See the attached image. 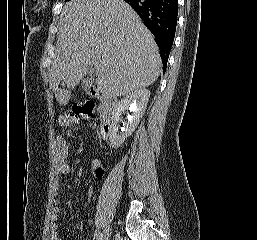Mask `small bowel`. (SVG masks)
Instances as JSON below:
<instances>
[{
	"label": "small bowel",
	"mask_w": 257,
	"mask_h": 240,
	"mask_svg": "<svg viewBox=\"0 0 257 240\" xmlns=\"http://www.w3.org/2000/svg\"><path fill=\"white\" fill-rule=\"evenodd\" d=\"M54 174L56 178L55 188H58V180L61 176L68 175L71 171V167L68 161L69 158V149L67 141L58 136L54 140ZM92 168L96 175V177H101L102 175V168L98 160L92 161ZM59 213V206L58 203L55 201L51 208V215H50V231H49V239L50 240H65L61 237L58 227V216Z\"/></svg>",
	"instance_id": "small-bowel-1"
}]
</instances>
